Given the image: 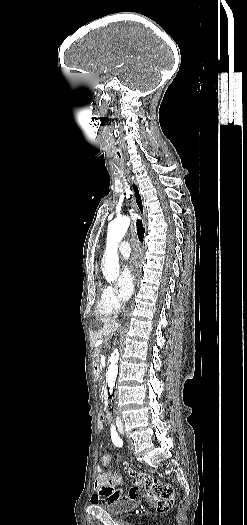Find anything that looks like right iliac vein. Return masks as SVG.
Returning a JSON list of instances; mask_svg holds the SVG:
<instances>
[{
    "mask_svg": "<svg viewBox=\"0 0 247 525\" xmlns=\"http://www.w3.org/2000/svg\"><path fill=\"white\" fill-rule=\"evenodd\" d=\"M119 430L122 432V431H123V428H122V427H119Z\"/></svg>",
    "mask_w": 247,
    "mask_h": 525,
    "instance_id": "63e3f726",
    "label": "right iliac vein"
}]
</instances>
